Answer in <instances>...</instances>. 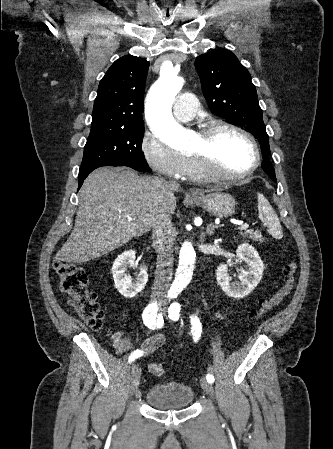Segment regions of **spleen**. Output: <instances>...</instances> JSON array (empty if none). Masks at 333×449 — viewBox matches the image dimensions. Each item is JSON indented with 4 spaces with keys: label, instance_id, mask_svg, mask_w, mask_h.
Listing matches in <instances>:
<instances>
[{
    "label": "spleen",
    "instance_id": "spleen-1",
    "mask_svg": "<svg viewBox=\"0 0 333 449\" xmlns=\"http://www.w3.org/2000/svg\"><path fill=\"white\" fill-rule=\"evenodd\" d=\"M257 199L260 220L267 226L268 232L274 238L281 239L283 237V231L277 214L263 194L258 193Z\"/></svg>",
    "mask_w": 333,
    "mask_h": 449
}]
</instances>
